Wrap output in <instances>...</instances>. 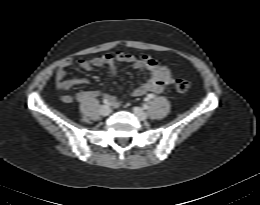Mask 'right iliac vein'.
Returning a JSON list of instances; mask_svg holds the SVG:
<instances>
[{
	"mask_svg": "<svg viewBox=\"0 0 260 205\" xmlns=\"http://www.w3.org/2000/svg\"><path fill=\"white\" fill-rule=\"evenodd\" d=\"M100 113L102 116H108L111 113V109L108 105H103L100 108Z\"/></svg>",
	"mask_w": 260,
	"mask_h": 205,
	"instance_id": "right-iliac-vein-1",
	"label": "right iliac vein"
}]
</instances>
